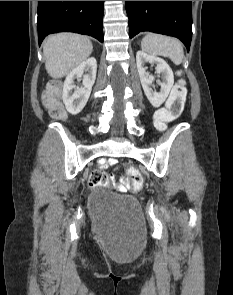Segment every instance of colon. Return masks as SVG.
I'll return each instance as SVG.
<instances>
[{"mask_svg": "<svg viewBox=\"0 0 233 295\" xmlns=\"http://www.w3.org/2000/svg\"><path fill=\"white\" fill-rule=\"evenodd\" d=\"M60 85L58 83H50L46 87L43 94V103L49 114L56 119H64L66 117L65 110L59 98ZM187 96L186 83L183 79H179L173 86L170 97L166 106L159 109L155 114L156 126L164 130L166 126L174 121L182 112ZM127 174L134 183V187L138 189L142 184V175L134 166L127 167ZM108 184V176L101 169L93 170L89 176V186L100 187Z\"/></svg>", "mask_w": 233, "mask_h": 295, "instance_id": "colon-1", "label": "colon"}]
</instances>
